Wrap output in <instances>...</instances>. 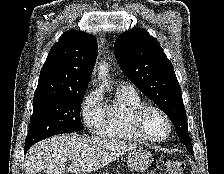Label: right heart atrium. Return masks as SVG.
Instances as JSON below:
<instances>
[{"mask_svg":"<svg viewBox=\"0 0 224 174\" xmlns=\"http://www.w3.org/2000/svg\"><path fill=\"white\" fill-rule=\"evenodd\" d=\"M81 116L88 130L98 132L103 117L102 95L98 90H92L86 95L81 106Z\"/></svg>","mask_w":224,"mask_h":174,"instance_id":"d8ad5b80","label":"right heart atrium"}]
</instances>
